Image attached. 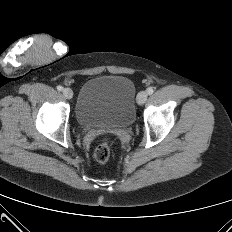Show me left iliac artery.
I'll return each mask as SVG.
<instances>
[{
    "mask_svg": "<svg viewBox=\"0 0 232 232\" xmlns=\"http://www.w3.org/2000/svg\"><path fill=\"white\" fill-rule=\"evenodd\" d=\"M153 92H154V89H153L152 87H149V88L147 89V93H148L149 95L153 94Z\"/></svg>",
    "mask_w": 232,
    "mask_h": 232,
    "instance_id": "left-iliac-artery-1",
    "label": "left iliac artery"
}]
</instances>
